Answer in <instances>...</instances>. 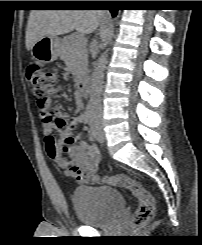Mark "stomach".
<instances>
[{"mask_svg":"<svg viewBox=\"0 0 202 245\" xmlns=\"http://www.w3.org/2000/svg\"><path fill=\"white\" fill-rule=\"evenodd\" d=\"M61 40L57 36H45L31 48V55L40 63H50L57 59L60 53Z\"/></svg>","mask_w":202,"mask_h":245,"instance_id":"0dacf381","label":"stomach"}]
</instances>
